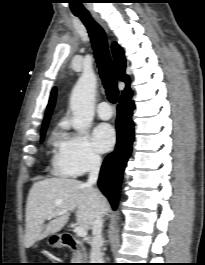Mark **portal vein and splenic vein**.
<instances>
[{"instance_id": "18ae733b", "label": "portal vein and splenic vein", "mask_w": 205, "mask_h": 265, "mask_svg": "<svg viewBox=\"0 0 205 265\" xmlns=\"http://www.w3.org/2000/svg\"><path fill=\"white\" fill-rule=\"evenodd\" d=\"M66 212H67L66 210H62V211H58V212L52 213V214H50L47 217V219L50 220V219L54 218L55 216L63 215ZM74 231L77 234V236H79V237H85L87 235L86 229L83 228L82 226H76L75 229H74Z\"/></svg>"}]
</instances>
